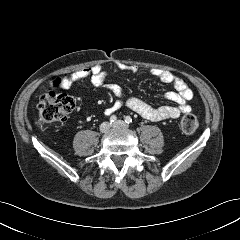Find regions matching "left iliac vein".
<instances>
[{"mask_svg": "<svg viewBox=\"0 0 240 240\" xmlns=\"http://www.w3.org/2000/svg\"><path fill=\"white\" fill-rule=\"evenodd\" d=\"M112 127L114 128H127V124L121 120L116 121Z\"/></svg>", "mask_w": 240, "mask_h": 240, "instance_id": "obj_1", "label": "left iliac vein"}]
</instances>
